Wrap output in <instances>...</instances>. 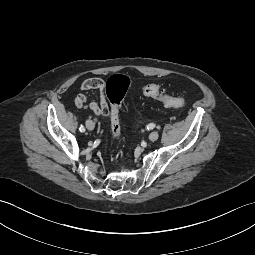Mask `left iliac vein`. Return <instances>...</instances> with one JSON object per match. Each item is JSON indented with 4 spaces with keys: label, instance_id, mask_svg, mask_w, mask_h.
Instances as JSON below:
<instances>
[{
    "label": "left iliac vein",
    "instance_id": "1",
    "mask_svg": "<svg viewBox=\"0 0 255 255\" xmlns=\"http://www.w3.org/2000/svg\"><path fill=\"white\" fill-rule=\"evenodd\" d=\"M158 137H159V133H158L157 131H153V132H151L150 135H149V139H150L151 141L157 140Z\"/></svg>",
    "mask_w": 255,
    "mask_h": 255
}]
</instances>
